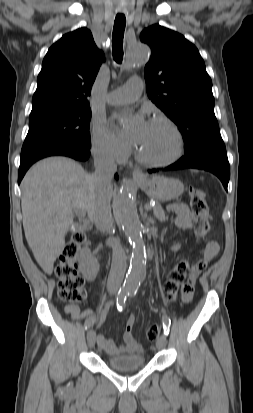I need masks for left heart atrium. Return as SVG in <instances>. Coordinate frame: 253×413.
<instances>
[{
  "label": "left heart atrium",
  "mask_w": 253,
  "mask_h": 413,
  "mask_svg": "<svg viewBox=\"0 0 253 413\" xmlns=\"http://www.w3.org/2000/svg\"><path fill=\"white\" fill-rule=\"evenodd\" d=\"M148 124L149 123L146 122L143 118H136L132 132L130 133V139L132 142L138 145L146 132Z\"/></svg>",
  "instance_id": "1"
}]
</instances>
